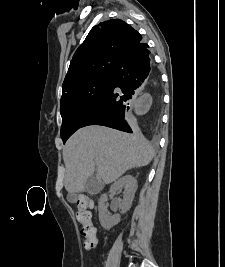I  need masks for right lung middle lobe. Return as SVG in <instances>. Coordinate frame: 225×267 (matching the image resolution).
Returning a JSON list of instances; mask_svg holds the SVG:
<instances>
[{
	"mask_svg": "<svg viewBox=\"0 0 225 267\" xmlns=\"http://www.w3.org/2000/svg\"><path fill=\"white\" fill-rule=\"evenodd\" d=\"M111 79L112 74L95 77L62 92L61 138L64 143L80 128L82 122L99 104Z\"/></svg>",
	"mask_w": 225,
	"mask_h": 267,
	"instance_id": "obj_1",
	"label": "right lung middle lobe"
}]
</instances>
